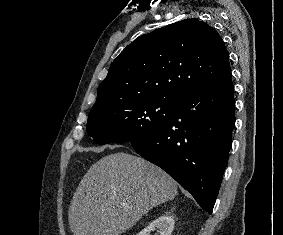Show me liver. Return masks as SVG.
Masks as SVG:
<instances>
[{"label": "liver", "instance_id": "6515ba94", "mask_svg": "<svg viewBox=\"0 0 283 235\" xmlns=\"http://www.w3.org/2000/svg\"><path fill=\"white\" fill-rule=\"evenodd\" d=\"M177 193L175 180L147 160L125 152L106 155L89 168L73 195L70 230L73 235H121Z\"/></svg>", "mask_w": 283, "mask_h": 235}]
</instances>
